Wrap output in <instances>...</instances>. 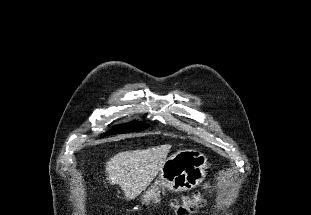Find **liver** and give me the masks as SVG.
<instances>
[{
  "instance_id": "1",
  "label": "liver",
  "mask_w": 311,
  "mask_h": 215,
  "mask_svg": "<svg viewBox=\"0 0 311 215\" xmlns=\"http://www.w3.org/2000/svg\"><path fill=\"white\" fill-rule=\"evenodd\" d=\"M170 149V144H164L114 155L106 163L108 183L119 184L126 200L136 198L160 172Z\"/></svg>"
}]
</instances>
